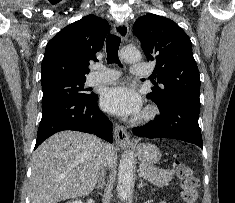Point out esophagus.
<instances>
[{
	"mask_svg": "<svg viewBox=\"0 0 235 203\" xmlns=\"http://www.w3.org/2000/svg\"><path fill=\"white\" fill-rule=\"evenodd\" d=\"M129 27L126 22H116L114 24V33L122 40H125L128 36ZM114 137L116 143L120 146H126L130 144L129 134L125 127L115 124Z\"/></svg>",
	"mask_w": 235,
	"mask_h": 203,
	"instance_id": "esophagus-1",
	"label": "esophagus"
}]
</instances>
